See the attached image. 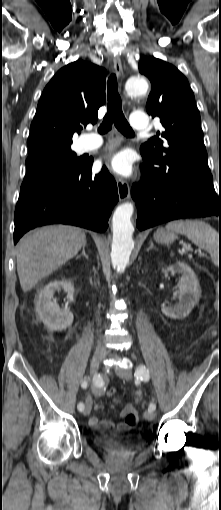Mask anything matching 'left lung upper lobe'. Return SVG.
Here are the masks:
<instances>
[{
  "label": "left lung upper lobe",
  "mask_w": 221,
  "mask_h": 510,
  "mask_svg": "<svg viewBox=\"0 0 221 510\" xmlns=\"http://www.w3.org/2000/svg\"><path fill=\"white\" fill-rule=\"evenodd\" d=\"M138 67L152 84L146 110L153 118L159 117L164 127L141 145V154L163 183L213 184L200 113L187 79L173 65L155 57L144 58Z\"/></svg>",
  "instance_id": "left-lung-upper-lobe-1"
}]
</instances>
